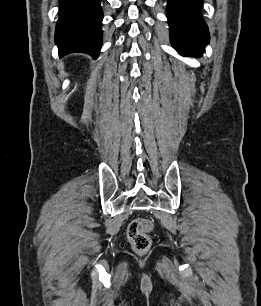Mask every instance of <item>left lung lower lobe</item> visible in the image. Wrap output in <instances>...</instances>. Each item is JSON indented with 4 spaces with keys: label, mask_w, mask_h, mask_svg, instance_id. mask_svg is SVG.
<instances>
[{
    "label": "left lung lower lobe",
    "mask_w": 261,
    "mask_h": 306,
    "mask_svg": "<svg viewBox=\"0 0 261 306\" xmlns=\"http://www.w3.org/2000/svg\"><path fill=\"white\" fill-rule=\"evenodd\" d=\"M203 0H168L171 41L180 54L200 56L209 43L207 25L200 16Z\"/></svg>",
    "instance_id": "obj_1"
}]
</instances>
